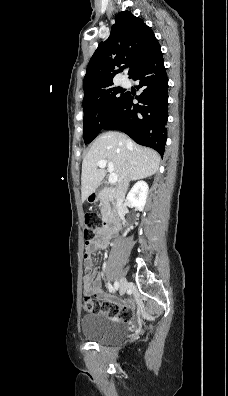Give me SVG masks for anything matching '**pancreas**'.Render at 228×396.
I'll return each instance as SVG.
<instances>
[{
  "label": "pancreas",
  "instance_id": "pancreas-1",
  "mask_svg": "<svg viewBox=\"0 0 228 396\" xmlns=\"http://www.w3.org/2000/svg\"><path fill=\"white\" fill-rule=\"evenodd\" d=\"M109 198L110 195L109 193L103 191L100 194V201H101V214L102 218L105 219L110 211V205H109Z\"/></svg>",
  "mask_w": 228,
  "mask_h": 396
}]
</instances>
